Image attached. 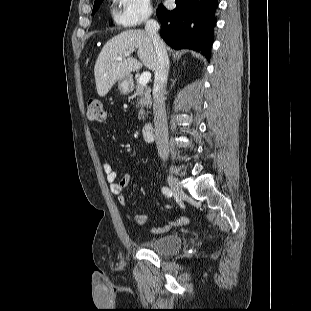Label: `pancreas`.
I'll return each mask as SVG.
<instances>
[{"instance_id": "obj_1", "label": "pancreas", "mask_w": 311, "mask_h": 311, "mask_svg": "<svg viewBox=\"0 0 311 311\" xmlns=\"http://www.w3.org/2000/svg\"><path fill=\"white\" fill-rule=\"evenodd\" d=\"M135 89L134 96L137 97V106L140 107V111L138 113V119L144 120V109L150 108L152 101H151V89L145 85H142L137 81V83L133 86Z\"/></svg>"}]
</instances>
